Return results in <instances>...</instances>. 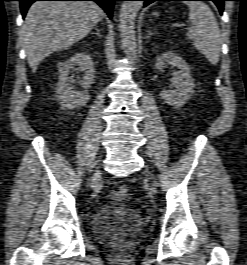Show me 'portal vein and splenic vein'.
Segmentation results:
<instances>
[{
  "instance_id": "obj_1",
  "label": "portal vein and splenic vein",
  "mask_w": 247,
  "mask_h": 265,
  "mask_svg": "<svg viewBox=\"0 0 247 265\" xmlns=\"http://www.w3.org/2000/svg\"><path fill=\"white\" fill-rule=\"evenodd\" d=\"M175 26L176 27H182L183 25L182 24H179V23H176Z\"/></svg>"
}]
</instances>
